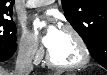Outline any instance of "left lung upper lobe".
<instances>
[{"label": "left lung upper lobe", "instance_id": "left-lung-upper-lobe-1", "mask_svg": "<svg viewBox=\"0 0 107 75\" xmlns=\"http://www.w3.org/2000/svg\"><path fill=\"white\" fill-rule=\"evenodd\" d=\"M61 2L66 19L82 37L91 55L102 45L107 48V0Z\"/></svg>", "mask_w": 107, "mask_h": 75}]
</instances>
